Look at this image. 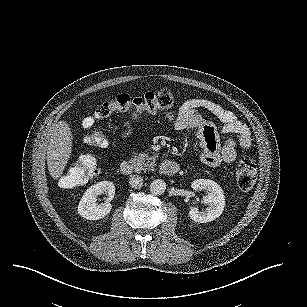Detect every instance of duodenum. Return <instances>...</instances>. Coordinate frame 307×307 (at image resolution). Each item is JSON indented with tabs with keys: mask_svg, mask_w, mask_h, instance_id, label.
<instances>
[{
	"mask_svg": "<svg viewBox=\"0 0 307 307\" xmlns=\"http://www.w3.org/2000/svg\"><path fill=\"white\" fill-rule=\"evenodd\" d=\"M180 169L177 162L166 159L160 163L159 171L168 176L176 174ZM120 172L123 175H131L133 173V163L130 160H124L120 164Z\"/></svg>",
	"mask_w": 307,
	"mask_h": 307,
	"instance_id": "obj_1",
	"label": "duodenum"
}]
</instances>
